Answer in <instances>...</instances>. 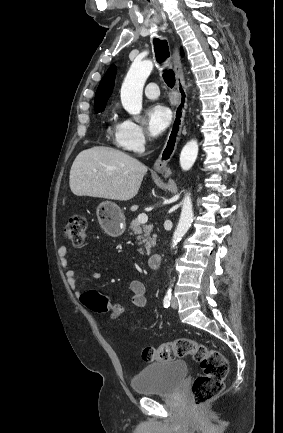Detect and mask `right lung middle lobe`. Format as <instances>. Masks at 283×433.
<instances>
[{
    "label": "right lung middle lobe",
    "mask_w": 283,
    "mask_h": 433,
    "mask_svg": "<svg viewBox=\"0 0 283 433\" xmlns=\"http://www.w3.org/2000/svg\"><path fill=\"white\" fill-rule=\"evenodd\" d=\"M104 109H105V107H101V108L95 109V112L96 113L102 112V111H104Z\"/></svg>",
    "instance_id": "obj_1"
}]
</instances>
